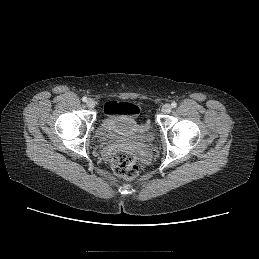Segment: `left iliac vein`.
<instances>
[{"label": "left iliac vein", "instance_id": "1", "mask_svg": "<svg viewBox=\"0 0 259 259\" xmlns=\"http://www.w3.org/2000/svg\"><path fill=\"white\" fill-rule=\"evenodd\" d=\"M171 110H172V107H171L170 104H164V105L162 106V112H163L164 114L170 113Z\"/></svg>", "mask_w": 259, "mask_h": 259}]
</instances>
